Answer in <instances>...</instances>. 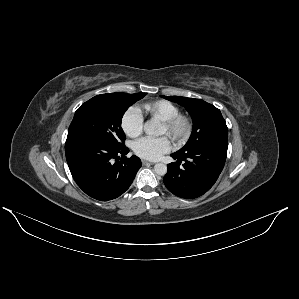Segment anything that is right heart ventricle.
<instances>
[{"label": "right heart ventricle", "instance_id": "right-heart-ventricle-1", "mask_svg": "<svg viewBox=\"0 0 299 299\" xmlns=\"http://www.w3.org/2000/svg\"><path fill=\"white\" fill-rule=\"evenodd\" d=\"M143 110L151 118L168 121L180 114V109L175 104L166 100H156L142 105Z\"/></svg>", "mask_w": 299, "mask_h": 299}]
</instances>
